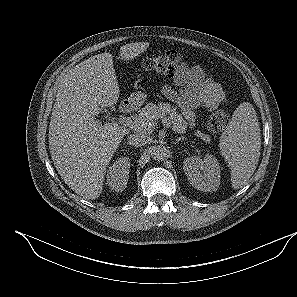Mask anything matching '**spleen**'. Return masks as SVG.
Returning <instances> with one entry per match:
<instances>
[{"label": "spleen", "instance_id": "obj_1", "mask_svg": "<svg viewBox=\"0 0 297 297\" xmlns=\"http://www.w3.org/2000/svg\"><path fill=\"white\" fill-rule=\"evenodd\" d=\"M219 148L230 167L232 187H243L256 170L261 148L259 122L249 102L241 103L234 111L220 137Z\"/></svg>", "mask_w": 297, "mask_h": 297}]
</instances>
